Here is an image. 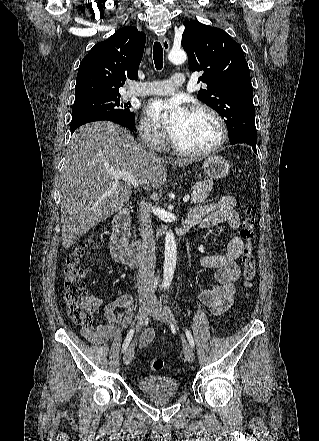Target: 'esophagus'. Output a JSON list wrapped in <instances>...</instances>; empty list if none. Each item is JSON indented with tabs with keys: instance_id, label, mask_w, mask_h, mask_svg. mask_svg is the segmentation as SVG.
Segmentation results:
<instances>
[{
	"instance_id": "esophagus-1",
	"label": "esophagus",
	"mask_w": 319,
	"mask_h": 441,
	"mask_svg": "<svg viewBox=\"0 0 319 441\" xmlns=\"http://www.w3.org/2000/svg\"><path fill=\"white\" fill-rule=\"evenodd\" d=\"M160 41L165 53H168L170 51V42L168 38L166 36H162Z\"/></svg>"
}]
</instances>
